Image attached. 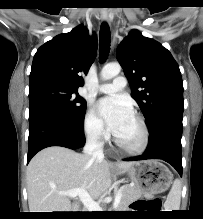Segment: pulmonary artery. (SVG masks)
Listing matches in <instances>:
<instances>
[{
	"mask_svg": "<svg viewBox=\"0 0 203 219\" xmlns=\"http://www.w3.org/2000/svg\"><path fill=\"white\" fill-rule=\"evenodd\" d=\"M127 81L123 76L116 77L112 83H104L97 86V90L101 93L112 94L126 87Z\"/></svg>",
	"mask_w": 203,
	"mask_h": 219,
	"instance_id": "obj_1",
	"label": "pulmonary artery"
}]
</instances>
